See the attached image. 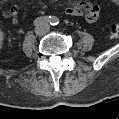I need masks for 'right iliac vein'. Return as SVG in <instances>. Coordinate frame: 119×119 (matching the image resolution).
<instances>
[{
    "mask_svg": "<svg viewBox=\"0 0 119 119\" xmlns=\"http://www.w3.org/2000/svg\"><path fill=\"white\" fill-rule=\"evenodd\" d=\"M42 32V29H38L37 33L40 34Z\"/></svg>",
    "mask_w": 119,
    "mask_h": 119,
    "instance_id": "right-iliac-vein-1",
    "label": "right iliac vein"
}]
</instances>
